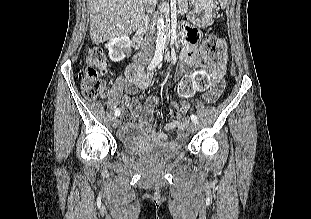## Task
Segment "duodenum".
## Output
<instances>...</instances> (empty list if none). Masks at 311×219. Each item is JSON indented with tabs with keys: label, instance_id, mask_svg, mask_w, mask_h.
Returning a JSON list of instances; mask_svg holds the SVG:
<instances>
[{
	"label": "duodenum",
	"instance_id": "obj_1",
	"mask_svg": "<svg viewBox=\"0 0 311 219\" xmlns=\"http://www.w3.org/2000/svg\"><path fill=\"white\" fill-rule=\"evenodd\" d=\"M144 28L140 30V32L133 39L132 45L134 48L139 49L143 39Z\"/></svg>",
	"mask_w": 311,
	"mask_h": 219
}]
</instances>
